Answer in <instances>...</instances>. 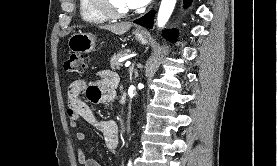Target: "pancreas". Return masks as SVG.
Wrapping results in <instances>:
<instances>
[{
	"instance_id": "pancreas-1",
	"label": "pancreas",
	"mask_w": 277,
	"mask_h": 166,
	"mask_svg": "<svg viewBox=\"0 0 277 166\" xmlns=\"http://www.w3.org/2000/svg\"><path fill=\"white\" fill-rule=\"evenodd\" d=\"M130 51L129 50H121L117 54H114L110 60V65L113 70H120L122 67V63L119 62V58L127 55Z\"/></svg>"
}]
</instances>
